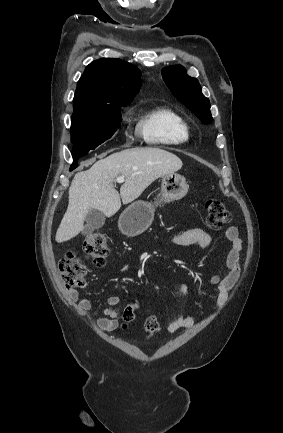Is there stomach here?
I'll return each mask as SVG.
<instances>
[{"instance_id": "0dacf381", "label": "stomach", "mask_w": 283, "mask_h": 433, "mask_svg": "<svg viewBox=\"0 0 283 433\" xmlns=\"http://www.w3.org/2000/svg\"><path fill=\"white\" fill-rule=\"evenodd\" d=\"M189 184L186 182V178L182 174H163L161 182V192L157 202H146V200H135L132 204H129L125 210H123L120 219L122 223H119V229L124 231L123 235L128 237H136L140 235L143 229H145L147 223L152 221L155 212L156 204L160 202H171V200H179L187 194Z\"/></svg>"}]
</instances>
